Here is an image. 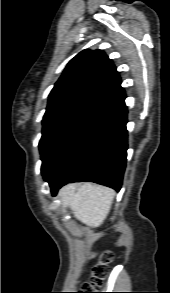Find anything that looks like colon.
<instances>
[{
    "instance_id": "5ec220e1",
    "label": "colon",
    "mask_w": 170,
    "mask_h": 293,
    "mask_svg": "<svg viewBox=\"0 0 170 293\" xmlns=\"http://www.w3.org/2000/svg\"><path fill=\"white\" fill-rule=\"evenodd\" d=\"M112 259L113 253L106 252L101 259L94 264L90 281L83 283L76 293H95L94 291L102 285L106 278L109 270V263Z\"/></svg>"
}]
</instances>
